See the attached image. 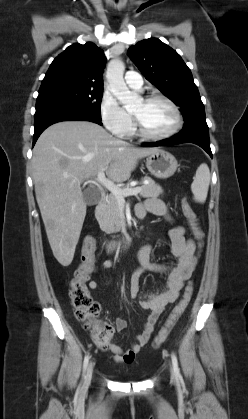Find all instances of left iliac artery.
<instances>
[{"mask_svg":"<svg viewBox=\"0 0 248 419\" xmlns=\"http://www.w3.org/2000/svg\"><path fill=\"white\" fill-rule=\"evenodd\" d=\"M171 358H172V364H173V368H174V372H175L176 376L181 377L180 370H179V367H178V360H177L176 355L174 353H172Z\"/></svg>","mask_w":248,"mask_h":419,"instance_id":"obj_1","label":"left iliac artery"}]
</instances>
